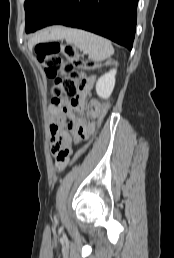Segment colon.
Masks as SVG:
<instances>
[{
	"label": "colon",
	"instance_id": "colon-1",
	"mask_svg": "<svg viewBox=\"0 0 174 258\" xmlns=\"http://www.w3.org/2000/svg\"><path fill=\"white\" fill-rule=\"evenodd\" d=\"M37 58L48 78L53 80L51 93L53 98L61 95L75 97L78 92L79 69L92 70L96 64L82 59L72 44L45 42L36 45ZM111 64V63H109ZM110 109L108 101L100 105L96 128L99 129ZM86 144L73 157L72 164L77 163L89 147Z\"/></svg>",
	"mask_w": 174,
	"mask_h": 258
}]
</instances>
